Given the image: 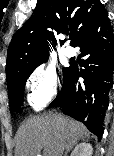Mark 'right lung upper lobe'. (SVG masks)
<instances>
[{"mask_svg":"<svg viewBox=\"0 0 114 156\" xmlns=\"http://www.w3.org/2000/svg\"><path fill=\"white\" fill-rule=\"evenodd\" d=\"M104 9L99 0H37L33 15L14 34L7 52L6 75L13 78L44 63L48 41L70 30L71 45L80 32ZM61 45L64 43L60 41Z\"/></svg>","mask_w":114,"mask_h":156,"instance_id":"1","label":"right lung upper lobe"}]
</instances>
